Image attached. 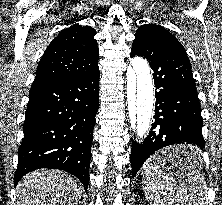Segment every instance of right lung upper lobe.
Masks as SVG:
<instances>
[{"instance_id":"right-lung-upper-lobe-1","label":"right lung upper lobe","mask_w":222,"mask_h":205,"mask_svg":"<svg viewBox=\"0 0 222 205\" xmlns=\"http://www.w3.org/2000/svg\"><path fill=\"white\" fill-rule=\"evenodd\" d=\"M95 29L73 24L54 38L37 68L32 85L66 80L91 73L98 67Z\"/></svg>"}]
</instances>
